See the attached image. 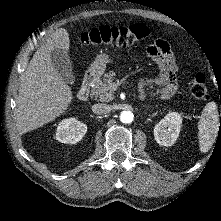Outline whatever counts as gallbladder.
I'll return each instance as SVG.
<instances>
[{
	"mask_svg": "<svg viewBox=\"0 0 221 221\" xmlns=\"http://www.w3.org/2000/svg\"><path fill=\"white\" fill-rule=\"evenodd\" d=\"M51 60L62 80L67 84H73L75 82V76L72 73V63L68 53L55 48L51 53Z\"/></svg>",
	"mask_w": 221,
	"mask_h": 221,
	"instance_id": "gallbladder-1",
	"label": "gallbladder"
}]
</instances>
